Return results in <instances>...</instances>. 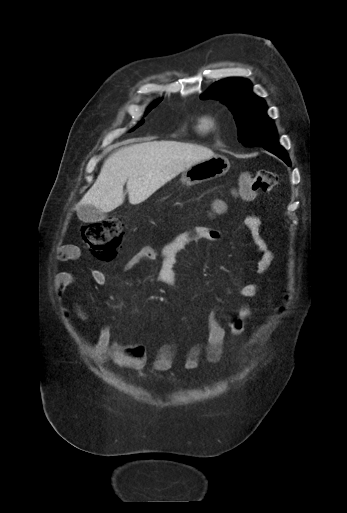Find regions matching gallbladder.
I'll return each instance as SVG.
<instances>
[{"label":"gallbladder","instance_id":"1","mask_svg":"<svg viewBox=\"0 0 347 513\" xmlns=\"http://www.w3.org/2000/svg\"><path fill=\"white\" fill-rule=\"evenodd\" d=\"M77 215L78 218L85 223L100 221L106 217L102 211L91 205L81 207Z\"/></svg>","mask_w":347,"mask_h":513}]
</instances>
